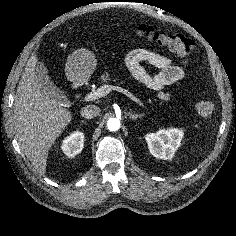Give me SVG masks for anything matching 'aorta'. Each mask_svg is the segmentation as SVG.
<instances>
[{
	"mask_svg": "<svg viewBox=\"0 0 236 236\" xmlns=\"http://www.w3.org/2000/svg\"><path fill=\"white\" fill-rule=\"evenodd\" d=\"M107 128L109 131H116L120 128V120L117 118H110L107 122Z\"/></svg>",
	"mask_w": 236,
	"mask_h": 236,
	"instance_id": "obj_1",
	"label": "aorta"
}]
</instances>
